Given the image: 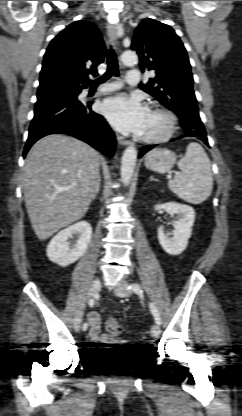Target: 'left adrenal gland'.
<instances>
[{
  "label": "left adrenal gland",
  "mask_w": 242,
  "mask_h": 416,
  "mask_svg": "<svg viewBox=\"0 0 242 416\" xmlns=\"http://www.w3.org/2000/svg\"><path fill=\"white\" fill-rule=\"evenodd\" d=\"M150 181H157L153 176L150 177Z\"/></svg>",
  "instance_id": "a2214340"
}]
</instances>
